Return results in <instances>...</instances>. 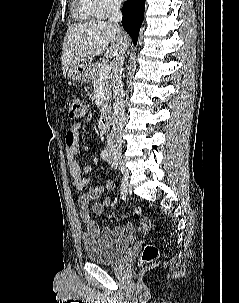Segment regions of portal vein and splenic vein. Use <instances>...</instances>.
<instances>
[{
	"mask_svg": "<svg viewBox=\"0 0 239 303\" xmlns=\"http://www.w3.org/2000/svg\"><path fill=\"white\" fill-rule=\"evenodd\" d=\"M110 71H111V67L109 64H106V63L102 64L100 72H99L100 79L109 75Z\"/></svg>",
	"mask_w": 239,
	"mask_h": 303,
	"instance_id": "obj_1",
	"label": "portal vein and splenic vein"
}]
</instances>
